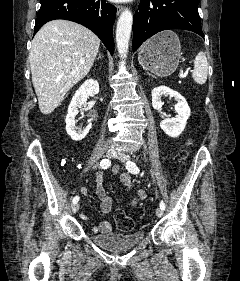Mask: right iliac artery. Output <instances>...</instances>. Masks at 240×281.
I'll return each instance as SVG.
<instances>
[{"label":"right iliac artery","instance_id":"82829eb1","mask_svg":"<svg viewBox=\"0 0 240 281\" xmlns=\"http://www.w3.org/2000/svg\"><path fill=\"white\" fill-rule=\"evenodd\" d=\"M110 165H111V161L109 160V159H103V160H101V162H100V164H99V166H100V168H102V169H107V168H109L110 167ZM79 201V196H75L74 198H73V204H75V203H77Z\"/></svg>","mask_w":240,"mask_h":281}]
</instances>
